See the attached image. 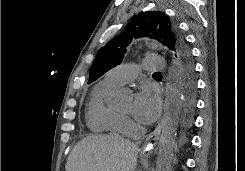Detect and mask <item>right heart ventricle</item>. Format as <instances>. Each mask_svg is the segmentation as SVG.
Returning <instances> with one entry per match:
<instances>
[{
    "instance_id": "obj_1",
    "label": "right heart ventricle",
    "mask_w": 245,
    "mask_h": 171,
    "mask_svg": "<svg viewBox=\"0 0 245 171\" xmlns=\"http://www.w3.org/2000/svg\"><path fill=\"white\" fill-rule=\"evenodd\" d=\"M116 88L104 80L94 86L87 108V123L91 131L109 134L120 132L121 115L107 105L108 97Z\"/></svg>"
}]
</instances>
